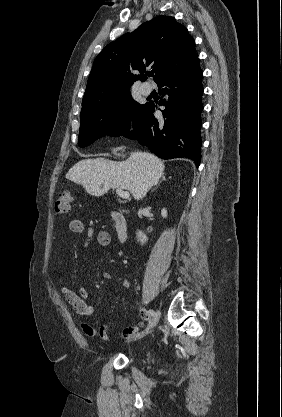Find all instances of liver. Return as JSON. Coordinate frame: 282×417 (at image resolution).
<instances>
[{"instance_id": "1", "label": "liver", "mask_w": 282, "mask_h": 417, "mask_svg": "<svg viewBox=\"0 0 282 417\" xmlns=\"http://www.w3.org/2000/svg\"><path fill=\"white\" fill-rule=\"evenodd\" d=\"M165 166L151 152H130L127 160L84 158L69 168L66 178L82 184L89 194L102 196L109 188H125L140 200L153 184H158Z\"/></svg>"}]
</instances>
